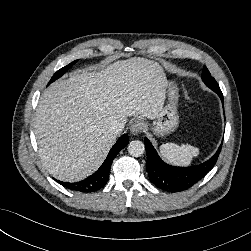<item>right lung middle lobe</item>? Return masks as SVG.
Listing matches in <instances>:
<instances>
[{
	"instance_id": "obj_1",
	"label": "right lung middle lobe",
	"mask_w": 251,
	"mask_h": 251,
	"mask_svg": "<svg viewBox=\"0 0 251 251\" xmlns=\"http://www.w3.org/2000/svg\"><path fill=\"white\" fill-rule=\"evenodd\" d=\"M78 60H75L73 62H71L70 64H68L67 66L61 68L60 70H58L53 77L51 78V80L49 81L48 85L51 84L53 81H55L56 79L60 78L64 73H66V71L68 69H70Z\"/></svg>"
}]
</instances>
